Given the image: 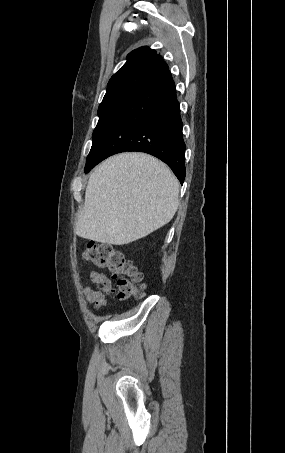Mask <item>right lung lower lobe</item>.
Listing matches in <instances>:
<instances>
[{
    "label": "right lung lower lobe",
    "instance_id": "right-lung-lower-lobe-1",
    "mask_svg": "<svg viewBox=\"0 0 285 453\" xmlns=\"http://www.w3.org/2000/svg\"><path fill=\"white\" fill-rule=\"evenodd\" d=\"M180 104L169 70L140 87L121 107L84 171L125 151L151 154L165 162L183 184L185 142Z\"/></svg>",
    "mask_w": 285,
    "mask_h": 453
}]
</instances>
